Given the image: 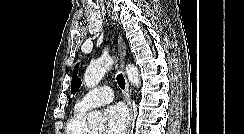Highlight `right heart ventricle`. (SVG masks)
Wrapping results in <instances>:
<instances>
[{
	"instance_id": "e07e8e85",
	"label": "right heart ventricle",
	"mask_w": 244,
	"mask_h": 134,
	"mask_svg": "<svg viewBox=\"0 0 244 134\" xmlns=\"http://www.w3.org/2000/svg\"><path fill=\"white\" fill-rule=\"evenodd\" d=\"M85 112L75 109L74 114L68 120L65 134H92L85 123Z\"/></svg>"
}]
</instances>
